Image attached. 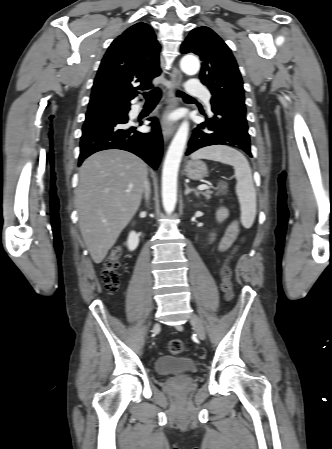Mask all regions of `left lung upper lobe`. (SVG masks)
I'll return each mask as SVG.
<instances>
[{"label":"left lung upper lobe","instance_id":"left-lung-upper-lobe-1","mask_svg":"<svg viewBox=\"0 0 332 449\" xmlns=\"http://www.w3.org/2000/svg\"><path fill=\"white\" fill-rule=\"evenodd\" d=\"M181 51L200 56V79L211 91L212 107L246 112L243 82L237 63L230 48L213 30L205 26L192 30Z\"/></svg>","mask_w":332,"mask_h":449}]
</instances>
